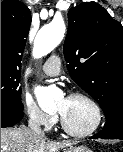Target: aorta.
<instances>
[{
	"label": "aorta",
	"instance_id": "1",
	"mask_svg": "<svg viewBox=\"0 0 123 152\" xmlns=\"http://www.w3.org/2000/svg\"><path fill=\"white\" fill-rule=\"evenodd\" d=\"M66 26L63 20L55 19L45 25L38 32L35 42L33 55L39 59L49 54L62 41ZM35 95L39 107L43 111L56 109L57 95L53 88L36 87Z\"/></svg>",
	"mask_w": 123,
	"mask_h": 152
}]
</instances>
